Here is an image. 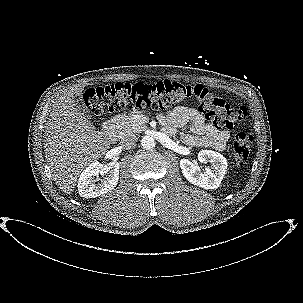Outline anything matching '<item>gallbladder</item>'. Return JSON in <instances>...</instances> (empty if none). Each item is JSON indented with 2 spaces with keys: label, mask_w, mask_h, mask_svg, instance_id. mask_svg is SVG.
Listing matches in <instances>:
<instances>
[{
  "label": "gallbladder",
  "mask_w": 303,
  "mask_h": 303,
  "mask_svg": "<svg viewBox=\"0 0 303 303\" xmlns=\"http://www.w3.org/2000/svg\"><path fill=\"white\" fill-rule=\"evenodd\" d=\"M81 96L75 97V106L77 110L83 115V116H89L88 109L86 105L82 102L80 99Z\"/></svg>",
  "instance_id": "gallbladder-1"
}]
</instances>
